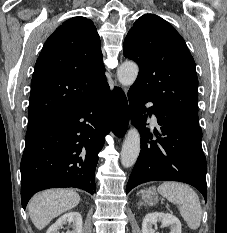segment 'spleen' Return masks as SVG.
I'll list each match as a JSON object with an SVG mask.
<instances>
[{"label": "spleen", "mask_w": 227, "mask_h": 233, "mask_svg": "<svg viewBox=\"0 0 227 233\" xmlns=\"http://www.w3.org/2000/svg\"><path fill=\"white\" fill-rule=\"evenodd\" d=\"M158 192L169 202L178 206L180 213L192 230L199 228L202 218V208L196 192L188 185L179 182H163Z\"/></svg>", "instance_id": "obj_1"}]
</instances>
